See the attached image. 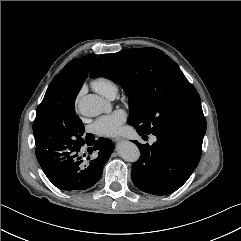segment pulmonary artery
I'll return each instance as SVG.
<instances>
[{"label":"pulmonary artery","instance_id":"obj_1","mask_svg":"<svg viewBox=\"0 0 241 241\" xmlns=\"http://www.w3.org/2000/svg\"><path fill=\"white\" fill-rule=\"evenodd\" d=\"M116 93H112L108 98L113 99L115 97ZM156 138L152 137L151 142H155Z\"/></svg>","mask_w":241,"mask_h":241}]
</instances>
